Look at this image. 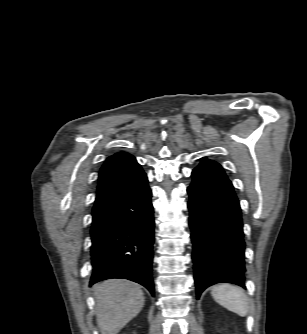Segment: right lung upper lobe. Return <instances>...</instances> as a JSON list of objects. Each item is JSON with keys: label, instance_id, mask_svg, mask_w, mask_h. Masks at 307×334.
<instances>
[{"label": "right lung upper lobe", "instance_id": "obj_1", "mask_svg": "<svg viewBox=\"0 0 307 334\" xmlns=\"http://www.w3.org/2000/svg\"><path fill=\"white\" fill-rule=\"evenodd\" d=\"M144 174L130 154L119 152L108 157L99 171L95 204L127 188Z\"/></svg>", "mask_w": 307, "mask_h": 334}]
</instances>
